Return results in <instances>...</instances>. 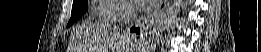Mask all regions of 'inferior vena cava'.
I'll use <instances>...</instances> for the list:
<instances>
[{
    "mask_svg": "<svg viewBox=\"0 0 261 52\" xmlns=\"http://www.w3.org/2000/svg\"><path fill=\"white\" fill-rule=\"evenodd\" d=\"M127 20L126 21H130L131 19H134L136 17V10L133 6H128L127 8Z\"/></svg>",
    "mask_w": 261,
    "mask_h": 52,
    "instance_id": "602c4592",
    "label": "inferior vena cava"
}]
</instances>
